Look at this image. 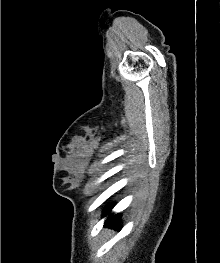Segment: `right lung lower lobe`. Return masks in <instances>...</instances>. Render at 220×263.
I'll return each mask as SVG.
<instances>
[{"mask_svg":"<svg viewBox=\"0 0 220 263\" xmlns=\"http://www.w3.org/2000/svg\"><path fill=\"white\" fill-rule=\"evenodd\" d=\"M113 208V206H109L107 207L104 215H108L111 211V209ZM105 226L114 228L116 230H120V224H119V216L118 215H114L111 216L105 223Z\"/></svg>","mask_w":220,"mask_h":263,"instance_id":"right-lung-lower-lobe-1","label":"right lung lower lobe"}]
</instances>
